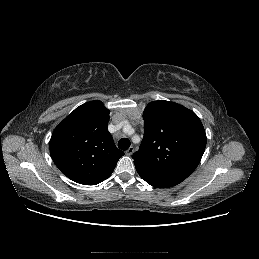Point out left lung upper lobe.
<instances>
[{"instance_id":"1","label":"left lung upper lobe","mask_w":259,"mask_h":259,"mask_svg":"<svg viewBox=\"0 0 259 259\" xmlns=\"http://www.w3.org/2000/svg\"><path fill=\"white\" fill-rule=\"evenodd\" d=\"M144 137L134 163L163 174L186 179L198 166L206 147L199 117L169 101L150 102L143 113Z\"/></svg>"}]
</instances>
